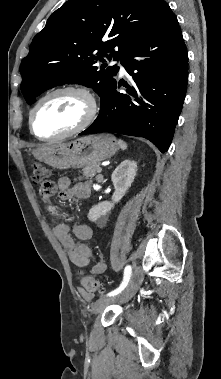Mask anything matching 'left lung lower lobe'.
Wrapping results in <instances>:
<instances>
[{"instance_id":"0a47b994","label":"left lung lower lobe","mask_w":221,"mask_h":379,"mask_svg":"<svg viewBox=\"0 0 221 379\" xmlns=\"http://www.w3.org/2000/svg\"><path fill=\"white\" fill-rule=\"evenodd\" d=\"M121 64L133 78L123 84L128 94L118 92L122 84L113 78L101 96L97 119L80 135L116 132L144 137L164 153L173 138L188 80L187 49L166 2L154 25L127 50Z\"/></svg>"}]
</instances>
